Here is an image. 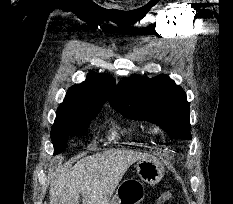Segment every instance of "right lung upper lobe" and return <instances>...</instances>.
<instances>
[{
	"label": "right lung upper lobe",
	"mask_w": 233,
	"mask_h": 204,
	"mask_svg": "<svg viewBox=\"0 0 233 204\" xmlns=\"http://www.w3.org/2000/svg\"><path fill=\"white\" fill-rule=\"evenodd\" d=\"M114 85L113 77L96 74L93 71L88 73L83 83L69 88L64 102L57 109V116L52 127L56 128L63 123L99 113Z\"/></svg>",
	"instance_id": "cb5924a9"
}]
</instances>
